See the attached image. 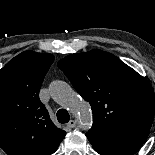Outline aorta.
<instances>
[{"label": "aorta", "instance_id": "obj_1", "mask_svg": "<svg viewBox=\"0 0 155 155\" xmlns=\"http://www.w3.org/2000/svg\"><path fill=\"white\" fill-rule=\"evenodd\" d=\"M53 99L74 113L83 129L92 126V112L89 103L78 97L70 85L64 81H54L50 86Z\"/></svg>", "mask_w": 155, "mask_h": 155}]
</instances>
